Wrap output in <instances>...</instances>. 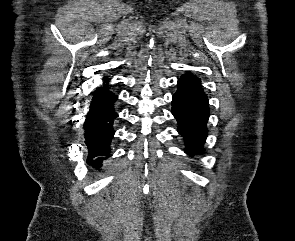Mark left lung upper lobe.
Masks as SVG:
<instances>
[{"instance_id":"5c2ea615","label":"left lung upper lobe","mask_w":295,"mask_h":241,"mask_svg":"<svg viewBox=\"0 0 295 241\" xmlns=\"http://www.w3.org/2000/svg\"><path fill=\"white\" fill-rule=\"evenodd\" d=\"M185 75H187V76L191 77L192 79H194V80L200 82V80H199L196 76H194V75H192V74H190V73H187V74H185Z\"/></svg>"}]
</instances>
